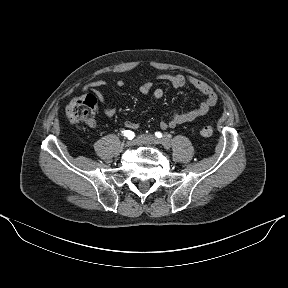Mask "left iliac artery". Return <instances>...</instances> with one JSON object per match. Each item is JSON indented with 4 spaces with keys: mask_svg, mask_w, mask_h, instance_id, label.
<instances>
[{
    "mask_svg": "<svg viewBox=\"0 0 288 288\" xmlns=\"http://www.w3.org/2000/svg\"><path fill=\"white\" fill-rule=\"evenodd\" d=\"M156 137L161 138L162 137V133L161 132H156L155 133Z\"/></svg>",
    "mask_w": 288,
    "mask_h": 288,
    "instance_id": "obj_1",
    "label": "left iliac artery"
}]
</instances>
